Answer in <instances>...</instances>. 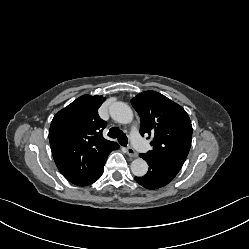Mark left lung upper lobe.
I'll list each match as a JSON object with an SVG mask.
<instances>
[{"instance_id":"5c2ea615","label":"left lung upper lobe","mask_w":249,"mask_h":249,"mask_svg":"<svg viewBox=\"0 0 249 249\" xmlns=\"http://www.w3.org/2000/svg\"><path fill=\"white\" fill-rule=\"evenodd\" d=\"M131 103L141 119V135L153 137L152 150L140 155L158 168L177 174L191 147L192 125L188 114L155 91L142 92Z\"/></svg>"}]
</instances>
